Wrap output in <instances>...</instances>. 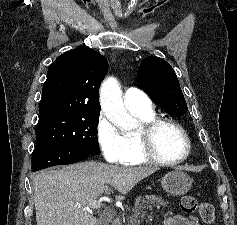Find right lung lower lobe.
I'll return each instance as SVG.
<instances>
[{"label": "right lung lower lobe", "instance_id": "right-lung-lower-lobe-1", "mask_svg": "<svg viewBox=\"0 0 237 225\" xmlns=\"http://www.w3.org/2000/svg\"><path fill=\"white\" fill-rule=\"evenodd\" d=\"M84 153L65 146L54 144H36L32 154V171H38L50 166L71 164L86 159Z\"/></svg>", "mask_w": 237, "mask_h": 225}]
</instances>
